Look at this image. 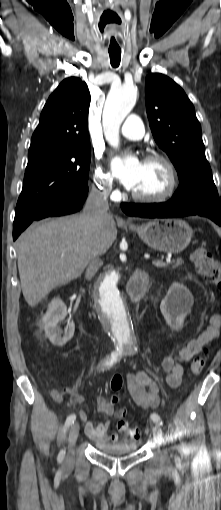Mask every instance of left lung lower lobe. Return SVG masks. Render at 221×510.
Wrapping results in <instances>:
<instances>
[{
    "mask_svg": "<svg viewBox=\"0 0 221 510\" xmlns=\"http://www.w3.org/2000/svg\"><path fill=\"white\" fill-rule=\"evenodd\" d=\"M121 208L126 214L130 216L150 218H170L199 215L208 217L216 224L221 226V207L216 206L185 207L166 202L154 204L122 203Z\"/></svg>",
    "mask_w": 221,
    "mask_h": 510,
    "instance_id": "obj_1",
    "label": "left lung lower lobe"
}]
</instances>
